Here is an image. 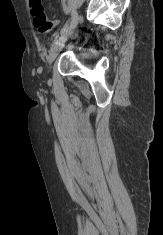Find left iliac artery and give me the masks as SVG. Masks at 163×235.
I'll return each mask as SVG.
<instances>
[{"instance_id":"44dca946","label":"left iliac artery","mask_w":163,"mask_h":235,"mask_svg":"<svg viewBox=\"0 0 163 235\" xmlns=\"http://www.w3.org/2000/svg\"><path fill=\"white\" fill-rule=\"evenodd\" d=\"M78 20H79L78 13H77L76 11H74V12L72 13L71 20H70L69 22H67V23L63 26V28L61 29V32H60L61 36H60L59 39L65 38L67 32H68L70 29L74 28V27L77 25ZM57 41H58V40H57ZM57 41H55V43H56Z\"/></svg>"}]
</instances>
